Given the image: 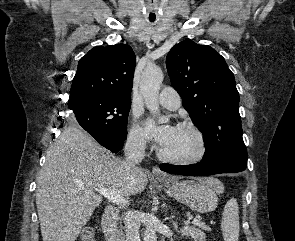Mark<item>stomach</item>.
Listing matches in <instances>:
<instances>
[{"label": "stomach", "mask_w": 295, "mask_h": 241, "mask_svg": "<svg viewBox=\"0 0 295 241\" xmlns=\"http://www.w3.org/2000/svg\"><path fill=\"white\" fill-rule=\"evenodd\" d=\"M218 181V180H217ZM165 192L191 210L208 213L218 206L217 194L223 192V185L218 181L213 185L195 180L161 181Z\"/></svg>", "instance_id": "stomach-1"}]
</instances>
